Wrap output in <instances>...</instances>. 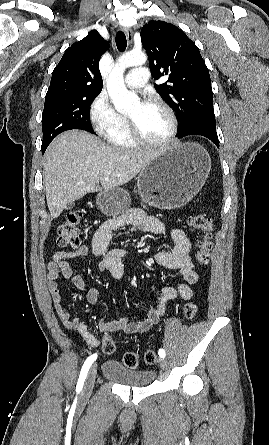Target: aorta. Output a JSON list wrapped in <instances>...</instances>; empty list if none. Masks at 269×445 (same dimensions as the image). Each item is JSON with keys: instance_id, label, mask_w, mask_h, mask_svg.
I'll return each mask as SVG.
<instances>
[{"instance_id": "1", "label": "aorta", "mask_w": 269, "mask_h": 445, "mask_svg": "<svg viewBox=\"0 0 269 445\" xmlns=\"http://www.w3.org/2000/svg\"><path fill=\"white\" fill-rule=\"evenodd\" d=\"M147 56L143 52L131 51L122 55L107 79L109 96L118 112H127L139 104V97L126 89L124 72L128 67L145 64Z\"/></svg>"}]
</instances>
